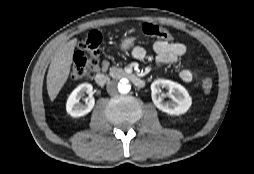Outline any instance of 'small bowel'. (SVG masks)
<instances>
[{
  "label": "small bowel",
  "instance_id": "small-bowel-1",
  "mask_svg": "<svg viewBox=\"0 0 254 174\" xmlns=\"http://www.w3.org/2000/svg\"><path fill=\"white\" fill-rule=\"evenodd\" d=\"M153 49L155 51V63L157 65H165L177 63L186 54L187 47L185 44L180 42H168L163 40H157L153 43ZM132 56L139 60L144 61L147 57V52L143 47H135L131 52ZM108 67V62L103 61L98 67H96L95 72L106 70ZM180 78L184 82H191L196 73L190 69L184 68L179 73Z\"/></svg>",
  "mask_w": 254,
  "mask_h": 174
}]
</instances>
